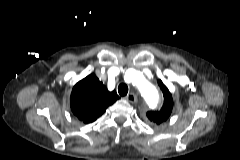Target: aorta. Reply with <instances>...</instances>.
<instances>
[{"instance_id": "obj_1", "label": "aorta", "mask_w": 240, "mask_h": 160, "mask_svg": "<svg viewBox=\"0 0 240 160\" xmlns=\"http://www.w3.org/2000/svg\"><path fill=\"white\" fill-rule=\"evenodd\" d=\"M132 83L137 88L148 108L155 109L158 107L160 104V94L158 90L140 72L134 73Z\"/></svg>"}]
</instances>
